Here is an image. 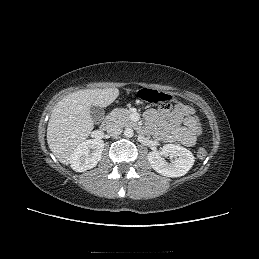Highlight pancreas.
Segmentation results:
<instances>
[{
    "label": "pancreas",
    "instance_id": "pancreas-1",
    "mask_svg": "<svg viewBox=\"0 0 259 259\" xmlns=\"http://www.w3.org/2000/svg\"><path fill=\"white\" fill-rule=\"evenodd\" d=\"M110 120L118 123L119 125L134 126L135 123L130 119V112L124 108H116L110 113Z\"/></svg>",
    "mask_w": 259,
    "mask_h": 259
}]
</instances>
